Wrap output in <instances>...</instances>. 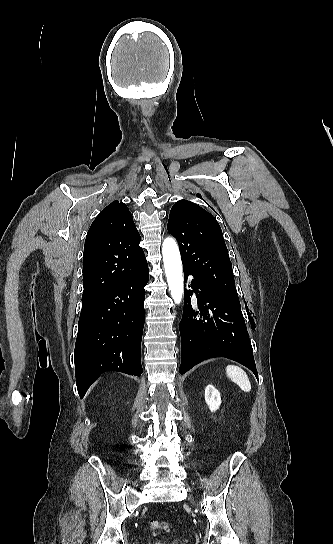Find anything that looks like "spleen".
Returning a JSON list of instances; mask_svg holds the SVG:
<instances>
[{
    "instance_id": "1",
    "label": "spleen",
    "mask_w": 333,
    "mask_h": 544,
    "mask_svg": "<svg viewBox=\"0 0 333 544\" xmlns=\"http://www.w3.org/2000/svg\"><path fill=\"white\" fill-rule=\"evenodd\" d=\"M226 373L228 378L232 382L236 383L242 391L244 392L251 391V384H250L249 378L246 372L242 368L235 365H228L226 367Z\"/></svg>"
}]
</instances>
